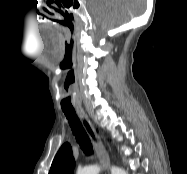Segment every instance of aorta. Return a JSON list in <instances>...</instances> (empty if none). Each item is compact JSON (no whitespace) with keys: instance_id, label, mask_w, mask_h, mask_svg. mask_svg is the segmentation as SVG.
Listing matches in <instances>:
<instances>
[{"instance_id":"aorta-1","label":"aorta","mask_w":187,"mask_h":174,"mask_svg":"<svg viewBox=\"0 0 187 174\" xmlns=\"http://www.w3.org/2000/svg\"><path fill=\"white\" fill-rule=\"evenodd\" d=\"M99 172H100L99 166L91 165L78 170L77 174H99ZM111 174H126V172L119 167L113 166L111 168Z\"/></svg>"}]
</instances>
